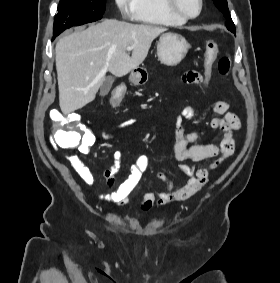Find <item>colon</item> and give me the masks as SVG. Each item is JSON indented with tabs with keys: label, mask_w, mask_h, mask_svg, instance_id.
<instances>
[{
	"label": "colon",
	"mask_w": 280,
	"mask_h": 283,
	"mask_svg": "<svg viewBox=\"0 0 280 283\" xmlns=\"http://www.w3.org/2000/svg\"><path fill=\"white\" fill-rule=\"evenodd\" d=\"M218 55V45L215 41L210 40L206 43L204 49V63L210 68ZM231 61L229 56H222L218 62V70L220 74L227 75L230 69ZM214 70H203L201 78L202 86L197 87V92H208L207 83L210 81ZM126 92V87H113V95L111 96V104L116 105ZM52 119L53 131L51 134L52 141L56 147L63 149L76 148L81 141V132H88V127H71L68 126V119H81L78 110H55L50 112Z\"/></svg>",
	"instance_id": "1"
}]
</instances>
